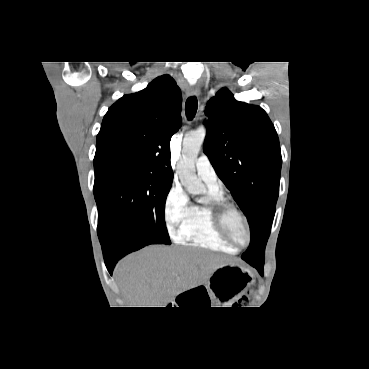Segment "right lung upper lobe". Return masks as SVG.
Listing matches in <instances>:
<instances>
[{
    "label": "right lung upper lobe",
    "instance_id": "cb5924a9",
    "mask_svg": "<svg viewBox=\"0 0 369 369\" xmlns=\"http://www.w3.org/2000/svg\"><path fill=\"white\" fill-rule=\"evenodd\" d=\"M181 92L169 75L125 95L105 114L94 168H129L173 179L170 140L181 126Z\"/></svg>",
    "mask_w": 369,
    "mask_h": 369
}]
</instances>
